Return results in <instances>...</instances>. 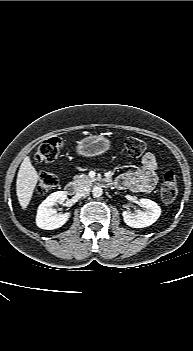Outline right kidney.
Masks as SVG:
<instances>
[{
  "label": "right kidney",
  "instance_id": "right-kidney-1",
  "mask_svg": "<svg viewBox=\"0 0 193 351\" xmlns=\"http://www.w3.org/2000/svg\"><path fill=\"white\" fill-rule=\"evenodd\" d=\"M67 199L65 191L50 194L38 207L36 224L39 228L53 230L63 226L70 218V213L57 214L52 208L56 203L62 204Z\"/></svg>",
  "mask_w": 193,
  "mask_h": 351
}]
</instances>
